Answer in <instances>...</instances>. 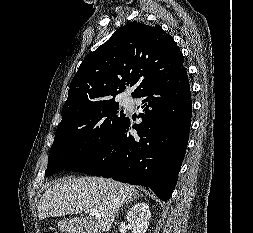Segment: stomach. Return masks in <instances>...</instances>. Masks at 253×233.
Wrapping results in <instances>:
<instances>
[{
	"label": "stomach",
	"mask_w": 253,
	"mask_h": 233,
	"mask_svg": "<svg viewBox=\"0 0 253 233\" xmlns=\"http://www.w3.org/2000/svg\"><path fill=\"white\" fill-rule=\"evenodd\" d=\"M60 227L63 229V228H65V229H71V226H68V225H65V224H60Z\"/></svg>",
	"instance_id": "1"
}]
</instances>
